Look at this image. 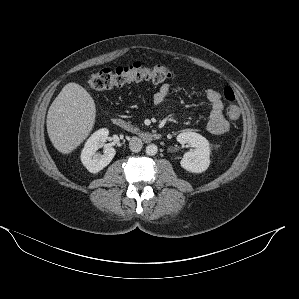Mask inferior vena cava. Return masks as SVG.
<instances>
[{"label": "inferior vena cava", "instance_id": "602c4592", "mask_svg": "<svg viewBox=\"0 0 299 299\" xmlns=\"http://www.w3.org/2000/svg\"><path fill=\"white\" fill-rule=\"evenodd\" d=\"M142 140L138 137H132L129 141V148L132 152H140L142 149Z\"/></svg>", "mask_w": 299, "mask_h": 299}]
</instances>
